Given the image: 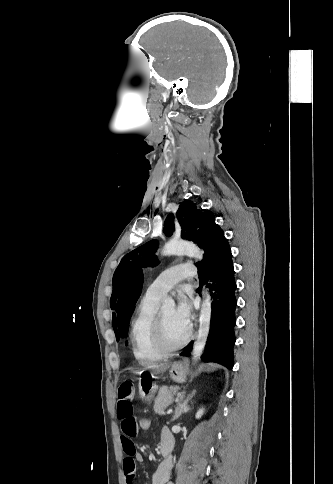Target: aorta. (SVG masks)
I'll use <instances>...</instances> for the list:
<instances>
[{"label":"aorta","instance_id":"762f6f07","mask_svg":"<svg viewBox=\"0 0 333 484\" xmlns=\"http://www.w3.org/2000/svg\"><path fill=\"white\" fill-rule=\"evenodd\" d=\"M162 254L167 255H179L187 254L190 257L201 260L203 258V251L195 244L185 242L181 240H170L166 243L162 249ZM175 306V302L172 298H166L163 302V309H172ZM211 320V297L206 292L205 299L202 302L200 316H199V329L197 339L193 346V359L196 361L200 359V356L204 350L207 342V338L210 330Z\"/></svg>","mask_w":333,"mask_h":484}]
</instances>
